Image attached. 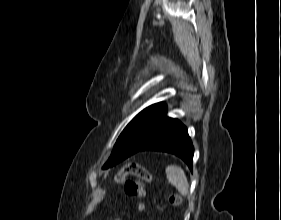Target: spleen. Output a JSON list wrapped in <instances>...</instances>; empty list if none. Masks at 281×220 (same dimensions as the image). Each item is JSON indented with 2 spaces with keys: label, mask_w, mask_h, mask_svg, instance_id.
<instances>
[{
  "label": "spleen",
  "mask_w": 281,
  "mask_h": 220,
  "mask_svg": "<svg viewBox=\"0 0 281 220\" xmlns=\"http://www.w3.org/2000/svg\"><path fill=\"white\" fill-rule=\"evenodd\" d=\"M168 181L177 188L179 193L186 196L189 193V183L184 170L177 165H169L166 168Z\"/></svg>",
  "instance_id": "spleen-1"
}]
</instances>
